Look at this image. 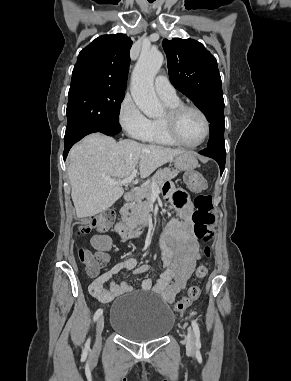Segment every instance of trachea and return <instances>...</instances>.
I'll list each match as a JSON object with an SVG mask.
<instances>
[{
	"label": "trachea",
	"instance_id": "3493384b",
	"mask_svg": "<svg viewBox=\"0 0 291 381\" xmlns=\"http://www.w3.org/2000/svg\"><path fill=\"white\" fill-rule=\"evenodd\" d=\"M154 0H149V2H153Z\"/></svg>",
	"mask_w": 291,
	"mask_h": 381
}]
</instances>
